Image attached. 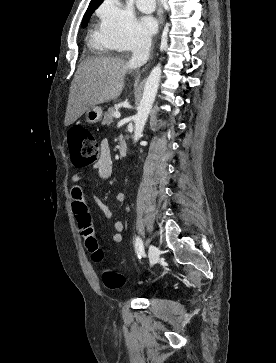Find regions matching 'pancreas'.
Returning a JSON list of instances; mask_svg holds the SVG:
<instances>
[{
  "mask_svg": "<svg viewBox=\"0 0 276 363\" xmlns=\"http://www.w3.org/2000/svg\"><path fill=\"white\" fill-rule=\"evenodd\" d=\"M115 108L114 107H110L108 109L107 112H105L104 114V118H103V121H102V125H107L109 126L112 122H113V114L115 112Z\"/></svg>",
  "mask_w": 276,
  "mask_h": 363,
  "instance_id": "obj_1",
  "label": "pancreas"
}]
</instances>
